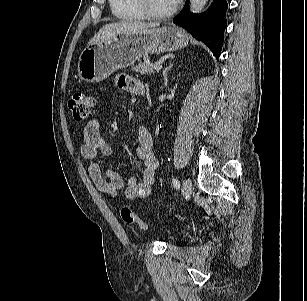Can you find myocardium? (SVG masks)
<instances>
[{
	"instance_id": "1",
	"label": "myocardium",
	"mask_w": 307,
	"mask_h": 301,
	"mask_svg": "<svg viewBox=\"0 0 307 301\" xmlns=\"http://www.w3.org/2000/svg\"><path fill=\"white\" fill-rule=\"evenodd\" d=\"M137 3L138 8L140 11L146 16L147 18L154 19V20H162L167 19L175 14L177 11V3L167 12L164 13H157L154 12L148 5L147 0H135Z\"/></svg>"
}]
</instances>
